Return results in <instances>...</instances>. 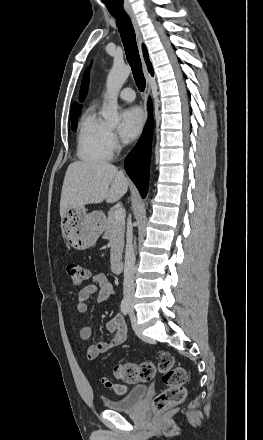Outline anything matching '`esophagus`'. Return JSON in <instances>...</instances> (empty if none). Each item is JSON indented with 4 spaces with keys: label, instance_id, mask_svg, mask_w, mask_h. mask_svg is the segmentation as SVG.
<instances>
[{
    "label": "esophagus",
    "instance_id": "1",
    "mask_svg": "<svg viewBox=\"0 0 263 440\" xmlns=\"http://www.w3.org/2000/svg\"><path fill=\"white\" fill-rule=\"evenodd\" d=\"M127 14L130 17L132 25H133V28L135 30L137 44H138V49H139V53H140V57H141L142 65H143V72H144V75L146 77V88H145L144 96H145V116H146V119H147L148 114H147L146 102L148 100V97H149V94H150V90H151V85H150V81H149L150 73L148 72L146 63H145L144 58H143V53H142V42H143V40H142V34H141V31H140V27H139L137 18H136L135 14H134V12L132 10H128Z\"/></svg>",
    "mask_w": 263,
    "mask_h": 440
}]
</instances>
